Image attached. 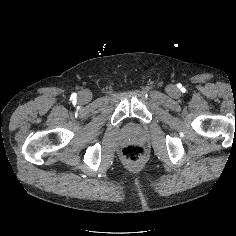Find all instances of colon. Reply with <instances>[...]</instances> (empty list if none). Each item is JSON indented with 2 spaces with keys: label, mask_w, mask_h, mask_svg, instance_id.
Masks as SVG:
<instances>
[{
  "label": "colon",
  "mask_w": 236,
  "mask_h": 236,
  "mask_svg": "<svg viewBox=\"0 0 236 236\" xmlns=\"http://www.w3.org/2000/svg\"><path fill=\"white\" fill-rule=\"evenodd\" d=\"M122 157L127 163H138L144 157V150L139 145H128L123 148Z\"/></svg>",
  "instance_id": "1"
}]
</instances>
